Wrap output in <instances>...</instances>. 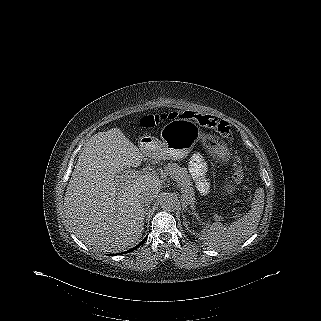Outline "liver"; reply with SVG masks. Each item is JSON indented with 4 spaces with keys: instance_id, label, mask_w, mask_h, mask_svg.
I'll return each instance as SVG.
<instances>
[{
    "instance_id": "obj_1",
    "label": "liver",
    "mask_w": 321,
    "mask_h": 321,
    "mask_svg": "<svg viewBox=\"0 0 321 321\" xmlns=\"http://www.w3.org/2000/svg\"><path fill=\"white\" fill-rule=\"evenodd\" d=\"M147 157H162L149 148L141 151L119 128L98 132L84 145L64 197L65 214L74 233L87 245L105 252L123 251L142 237L146 210L140 202L144 188L160 192L164 174L131 175ZM126 170V171H125Z\"/></svg>"
}]
</instances>
